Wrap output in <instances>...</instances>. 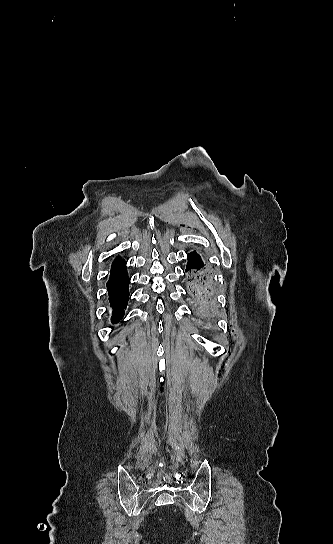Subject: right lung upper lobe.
<instances>
[{
  "instance_id": "right-lung-upper-lobe-1",
  "label": "right lung upper lobe",
  "mask_w": 333,
  "mask_h": 544,
  "mask_svg": "<svg viewBox=\"0 0 333 544\" xmlns=\"http://www.w3.org/2000/svg\"><path fill=\"white\" fill-rule=\"evenodd\" d=\"M124 265H125V261L123 259H121L120 257L116 258L112 264L111 274L118 271Z\"/></svg>"
}]
</instances>
